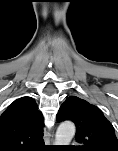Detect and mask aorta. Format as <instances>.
I'll return each instance as SVG.
<instances>
[{
    "label": "aorta",
    "instance_id": "762f6f07",
    "mask_svg": "<svg viewBox=\"0 0 118 151\" xmlns=\"http://www.w3.org/2000/svg\"><path fill=\"white\" fill-rule=\"evenodd\" d=\"M76 132L74 123L65 121L56 131L55 145H69Z\"/></svg>",
    "mask_w": 118,
    "mask_h": 151
}]
</instances>
